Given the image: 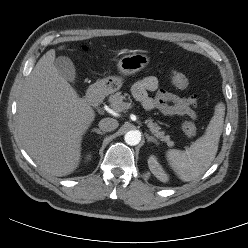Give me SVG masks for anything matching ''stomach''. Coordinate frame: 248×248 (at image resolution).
I'll return each instance as SVG.
<instances>
[{
  "instance_id": "stomach-1",
  "label": "stomach",
  "mask_w": 248,
  "mask_h": 248,
  "mask_svg": "<svg viewBox=\"0 0 248 248\" xmlns=\"http://www.w3.org/2000/svg\"><path fill=\"white\" fill-rule=\"evenodd\" d=\"M149 63V57L144 54H129L121 57L117 63V69L121 76H109L98 82L101 91L113 93L118 91L123 84V76L135 74L144 69Z\"/></svg>"
}]
</instances>
